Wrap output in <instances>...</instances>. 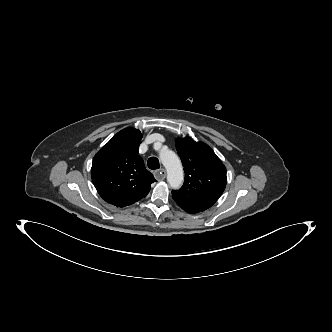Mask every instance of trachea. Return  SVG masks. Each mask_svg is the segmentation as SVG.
<instances>
[{
  "mask_svg": "<svg viewBox=\"0 0 332 332\" xmlns=\"http://www.w3.org/2000/svg\"><path fill=\"white\" fill-rule=\"evenodd\" d=\"M147 165L151 170H156L160 168L159 160L156 157H150L148 159Z\"/></svg>",
  "mask_w": 332,
  "mask_h": 332,
  "instance_id": "1",
  "label": "trachea"
}]
</instances>
